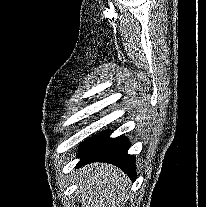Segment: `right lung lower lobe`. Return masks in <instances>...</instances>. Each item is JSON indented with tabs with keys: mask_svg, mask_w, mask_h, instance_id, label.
<instances>
[{
	"mask_svg": "<svg viewBox=\"0 0 206 207\" xmlns=\"http://www.w3.org/2000/svg\"><path fill=\"white\" fill-rule=\"evenodd\" d=\"M130 145L128 139L124 137L110 138L109 131H105L82 147L79 151L80 161L77 167L91 162H107L118 166L128 174L132 181H135V160L127 153Z\"/></svg>",
	"mask_w": 206,
	"mask_h": 207,
	"instance_id": "right-lung-lower-lobe-1",
	"label": "right lung lower lobe"
}]
</instances>
